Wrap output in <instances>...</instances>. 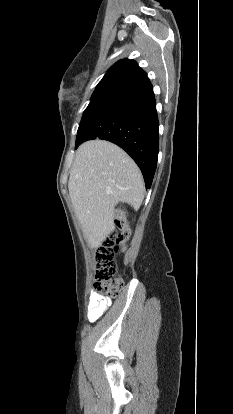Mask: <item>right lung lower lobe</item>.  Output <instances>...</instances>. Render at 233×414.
Returning a JSON list of instances; mask_svg holds the SVG:
<instances>
[{
  "label": "right lung lower lobe",
  "mask_w": 233,
  "mask_h": 414,
  "mask_svg": "<svg viewBox=\"0 0 233 414\" xmlns=\"http://www.w3.org/2000/svg\"><path fill=\"white\" fill-rule=\"evenodd\" d=\"M158 127L153 87L145 75L89 110L78 128L76 148L96 138L117 144L137 163L148 189L157 165Z\"/></svg>",
  "instance_id": "1"
}]
</instances>
